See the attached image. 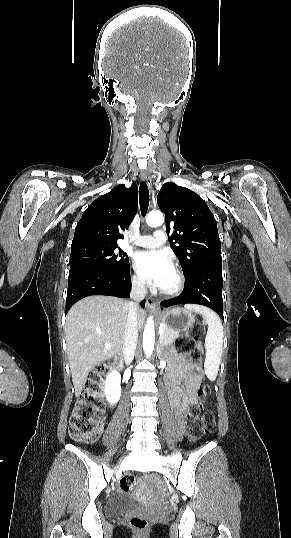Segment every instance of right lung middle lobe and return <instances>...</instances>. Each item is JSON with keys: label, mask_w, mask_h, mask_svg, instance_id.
<instances>
[{"label": "right lung middle lobe", "mask_w": 291, "mask_h": 538, "mask_svg": "<svg viewBox=\"0 0 291 538\" xmlns=\"http://www.w3.org/2000/svg\"><path fill=\"white\" fill-rule=\"evenodd\" d=\"M118 246L90 245L71 249L70 271L80 268L121 270L129 265L127 254Z\"/></svg>", "instance_id": "1"}]
</instances>
